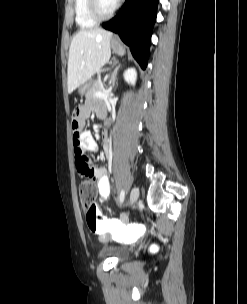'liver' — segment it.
I'll return each instance as SVG.
<instances>
[{"label":"liver","mask_w":247,"mask_h":304,"mask_svg":"<svg viewBox=\"0 0 247 304\" xmlns=\"http://www.w3.org/2000/svg\"><path fill=\"white\" fill-rule=\"evenodd\" d=\"M112 33L100 28L80 30L70 45L67 86L68 93L91 79L109 61Z\"/></svg>","instance_id":"1"}]
</instances>
